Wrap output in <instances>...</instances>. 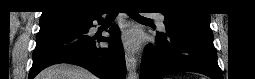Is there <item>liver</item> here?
Returning a JSON list of instances; mask_svg holds the SVG:
<instances>
[{
	"instance_id": "liver-1",
	"label": "liver",
	"mask_w": 255,
	"mask_h": 79,
	"mask_svg": "<svg viewBox=\"0 0 255 79\" xmlns=\"http://www.w3.org/2000/svg\"><path fill=\"white\" fill-rule=\"evenodd\" d=\"M36 79H97V77L80 66L56 64L44 69Z\"/></svg>"
}]
</instances>
